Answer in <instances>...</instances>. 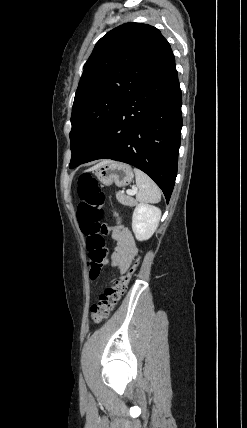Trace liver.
<instances>
[{"label":"liver","mask_w":247,"mask_h":428,"mask_svg":"<svg viewBox=\"0 0 247 428\" xmlns=\"http://www.w3.org/2000/svg\"><path fill=\"white\" fill-rule=\"evenodd\" d=\"M108 162H110V160H104V161H102L101 163L97 164L96 166H94V167L90 168L89 170H94V169H96L97 167H99L100 165L105 164V163H108Z\"/></svg>","instance_id":"liver-1"}]
</instances>
